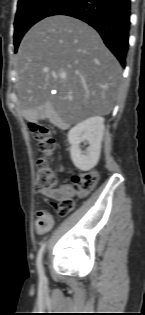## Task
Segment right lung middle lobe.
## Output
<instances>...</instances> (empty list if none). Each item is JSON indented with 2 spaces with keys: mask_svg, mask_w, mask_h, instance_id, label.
Returning <instances> with one entry per match:
<instances>
[{
  "mask_svg": "<svg viewBox=\"0 0 145 315\" xmlns=\"http://www.w3.org/2000/svg\"><path fill=\"white\" fill-rule=\"evenodd\" d=\"M67 0H19L14 23V46L19 43L27 30L41 19L48 17Z\"/></svg>",
  "mask_w": 145,
  "mask_h": 315,
  "instance_id": "right-lung-middle-lobe-1",
  "label": "right lung middle lobe"
}]
</instances>
